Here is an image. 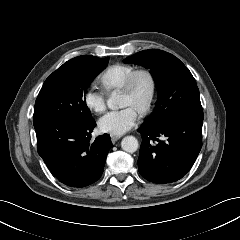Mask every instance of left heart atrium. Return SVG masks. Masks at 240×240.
<instances>
[{
	"label": "left heart atrium",
	"mask_w": 240,
	"mask_h": 240,
	"mask_svg": "<svg viewBox=\"0 0 240 240\" xmlns=\"http://www.w3.org/2000/svg\"><path fill=\"white\" fill-rule=\"evenodd\" d=\"M137 117V112L131 107L112 110L99 119L98 127L101 132L121 135L136 124Z\"/></svg>",
	"instance_id": "1"
}]
</instances>
